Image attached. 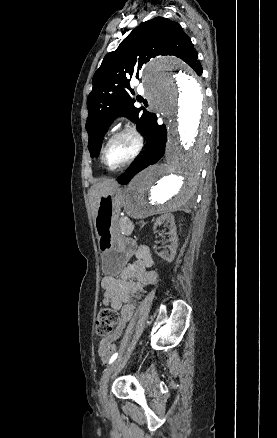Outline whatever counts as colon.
<instances>
[{"instance_id": "obj_1", "label": "colon", "mask_w": 277, "mask_h": 438, "mask_svg": "<svg viewBox=\"0 0 277 438\" xmlns=\"http://www.w3.org/2000/svg\"><path fill=\"white\" fill-rule=\"evenodd\" d=\"M117 319V313L111 308H103L100 310L95 322V332L100 340L109 337L113 330Z\"/></svg>"}]
</instances>
